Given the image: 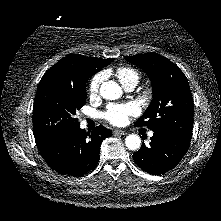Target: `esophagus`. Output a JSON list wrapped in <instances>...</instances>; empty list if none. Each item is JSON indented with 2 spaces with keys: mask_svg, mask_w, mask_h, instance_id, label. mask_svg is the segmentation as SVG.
Returning <instances> with one entry per match:
<instances>
[{
  "mask_svg": "<svg viewBox=\"0 0 221 221\" xmlns=\"http://www.w3.org/2000/svg\"><path fill=\"white\" fill-rule=\"evenodd\" d=\"M113 133H114L115 135H126V134H127L126 131L120 130V129L114 130Z\"/></svg>",
  "mask_w": 221,
  "mask_h": 221,
  "instance_id": "esophagus-1",
  "label": "esophagus"
}]
</instances>
